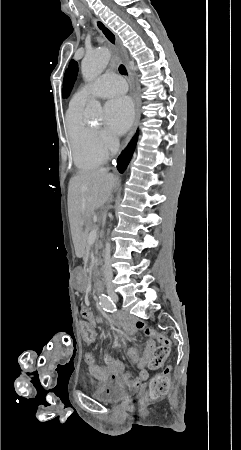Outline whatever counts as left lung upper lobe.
Returning a JSON list of instances; mask_svg holds the SVG:
<instances>
[{
    "label": "left lung upper lobe",
    "mask_w": 241,
    "mask_h": 450,
    "mask_svg": "<svg viewBox=\"0 0 241 450\" xmlns=\"http://www.w3.org/2000/svg\"><path fill=\"white\" fill-rule=\"evenodd\" d=\"M77 73H78V63L75 60H71L69 63V67L66 69L64 75L63 89H62L63 98L69 96L72 87L74 85V82L76 80Z\"/></svg>",
    "instance_id": "left-lung-upper-lobe-1"
}]
</instances>
